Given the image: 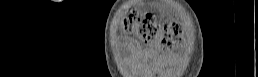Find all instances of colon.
I'll return each instance as SVG.
<instances>
[{
	"label": "colon",
	"instance_id": "colon-1",
	"mask_svg": "<svg viewBox=\"0 0 258 77\" xmlns=\"http://www.w3.org/2000/svg\"><path fill=\"white\" fill-rule=\"evenodd\" d=\"M124 28L134 32L143 43L155 45L163 51L170 50L180 39L181 26L160 24L152 14H141L130 10L124 20Z\"/></svg>",
	"mask_w": 258,
	"mask_h": 77
}]
</instances>
